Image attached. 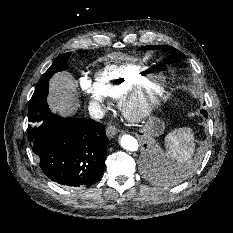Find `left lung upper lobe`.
<instances>
[{"label":"left lung upper lobe","instance_id":"obj_1","mask_svg":"<svg viewBox=\"0 0 233 233\" xmlns=\"http://www.w3.org/2000/svg\"><path fill=\"white\" fill-rule=\"evenodd\" d=\"M143 49H162L164 51H168L169 53L175 55L176 57H179V58H183L184 57V54L181 53L179 50L173 48V47H170V46H166V45H150V46H143L141 47L139 50H143Z\"/></svg>","mask_w":233,"mask_h":233}]
</instances>
